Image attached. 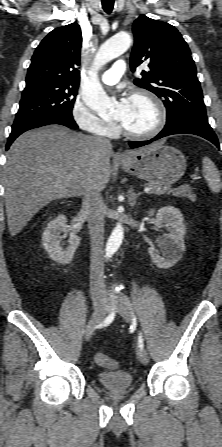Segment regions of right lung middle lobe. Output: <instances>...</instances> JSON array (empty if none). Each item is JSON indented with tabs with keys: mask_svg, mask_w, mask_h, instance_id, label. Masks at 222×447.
Masks as SVG:
<instances>
[{
	"mask_svg": "<svg viewBox=\"0 0 222 447\" xmlns=\"http://www.w3.org/2000/svg\"><path fill=\"white\" fill-rule=\"evenodd\" d=\"M78 86L42 85L25 88L13 129L55 116H72Z\"/></svg>",
	"mask_w": 222,
	"mask_h": 447,
	"instance_id": "obj_1",
	"label": "right lung middle lobe"
}]
</instances>
